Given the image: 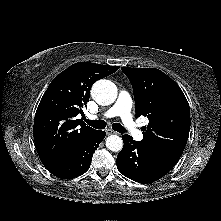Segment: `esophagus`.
<instances>
[{"label":"esophagus","mask_w":221,"mask_h":221,"mask_svg":"<svg viewBox=\"0 0 221 221\" xmlns=\"http://www.w3.org/2000/svg\"><path fill=\"white\" fill-rule=\"evenodd\" d=\"M106 134L111 135V134H116V132L112 129H106Z\"/></svg>","instance_id":"esophagus-1"}]
</instances>
